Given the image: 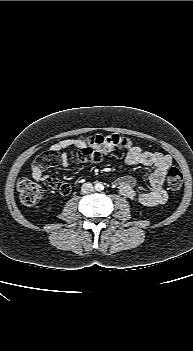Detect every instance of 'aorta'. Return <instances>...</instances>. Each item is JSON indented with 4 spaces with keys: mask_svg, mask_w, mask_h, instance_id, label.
<instances>
[{
    "mask_svg": "<svg viewBox=\"0 0 193 351\" xmlns=\"http://www.w3.org/2000/svg\"><path fill=\"white\" fill-rule=\"evenodd\" d=\"M103 189H104V186H103L102 183L97 182V183L95 184V190H96V191H101V190H103Z\"/></svg>",
    "mask_w": 193,
    "mask_h": 351,
    "instance_id": "aorta-1",
    "label": "aorta"
}]
</instances>
